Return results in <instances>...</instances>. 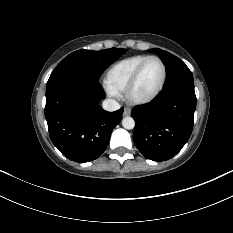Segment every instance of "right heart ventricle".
I'll return each instance as SVG.
<instances>
[{
    "label": "right heart ventricle",
    "instance_id": "obj_1",
    "mask_svg": "<svg viewBox=\"0 0 233 233\" xmlns=\"http://www.w3.org/2000/svg\"><path fill=\"white\" fill-rule=\"evenodd\" d=\"M147 57L148 55H135L113 64L106 73V86L117 94L123 93L134 71Z\"/></svg>",
    "mask_w": 233,
    "mask_h": 233
}]
</instances>
